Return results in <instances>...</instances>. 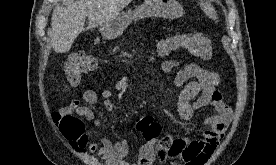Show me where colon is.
Segmentation results:
<instances>
[{"mask_svg":"<svg viewBox=\"0 0 276 165\" xmlns=\"http://www.w3.org/2000/svg\"><path fill=\"white\" fill-rule=\"evenodd\" d=\"M184 48L197 58L208 60L212 57L213 49L210 39L197 32L186 33L172 38L162 40L158 44L157 52L165 56L172 51ZM97 68V61L89 53L80 51L70 55L65 65V74L69 86H77L86 74ZM54 121L64 136L72 143H76L83 132V123L73 116H61L55 113ZM137 128L141 131L147 141L155 140L161 131L160 125L150 116H144L137 122Z\"/></svg>","mask_w":276,"mask_h":165,"instance_id":"1","label":"colon"}]
</instances>
